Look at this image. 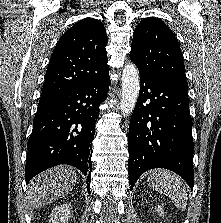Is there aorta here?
<instances>
[{"label":"aorta","instance_id":"762f6f07","mask_svg":"<svg viewBox=\"0 0 221 223\" xmlns=\"http://www.w3.org/2000/svg\"><path fill=\"white\" fill-rule=\"evenodd\" d=\"M121 80L120 108L122 115L127 116L134 110L139 95L140 78L137 67L132 63L125 65Z\"/></svg>","mask_w":221,"mask_h":223}]
</instances>
